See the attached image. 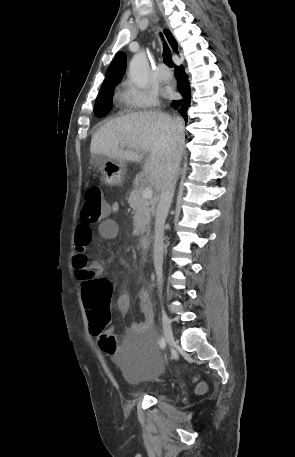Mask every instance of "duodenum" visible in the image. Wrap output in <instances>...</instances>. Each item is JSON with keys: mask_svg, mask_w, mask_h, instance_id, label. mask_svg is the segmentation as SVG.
<instances>
[{"mask_svg": "<svg viewBox=\"0 0 295 457\" xmlns=\"http://www.w3.org/2000/svg\"><path fill=\"white\" fill-rule=\"evenodd\" d=\"M151 238L149 236H143L140 239V248L141 251L146 254L150 248Z\"/></svg>", "mask_w": 295, "mask_h": 457, "instance_id": "410a0bca", "label": "duodenum"}]
</instances>
